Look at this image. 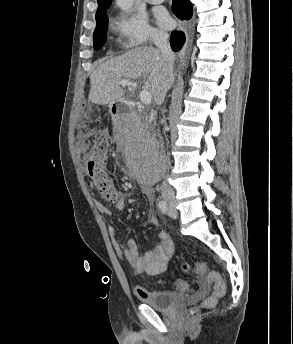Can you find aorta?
Instances as JSON below:
<instances>
[{"label": "aorta", "mask_w": 293, "mask_h": 344, "mask_svg": "<svg viewBox=\"0 0 293 344\" xmlns=\"http://www.w3.org/2000/svg\"><path fill=\"white\" fill-rule=\"evenodd\" d=\"M134 0H116V4L121 10L129 12L133 6Z\"/></svg>", "instance_id": "762f6f07"}]
</instances>
